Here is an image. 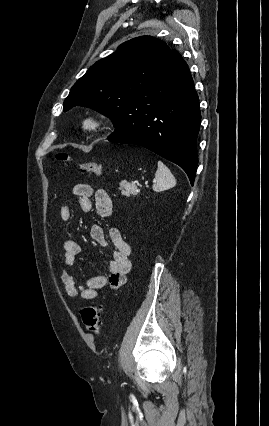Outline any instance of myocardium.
Listing matches in <instances>:
<instances>
[{
  "mask_svg": "<svg viewBox=\"0 0 269 426\" xmlns=\"http://www.w3.org/2000/svg\"><path fill=\"white\" fill-rule=\"evenodd\" d=\"M105 124L106 118L103 115L92 113L84 118L82 126L88 132H96L101 130Z\"/></svg>",
  "mask_w": 269,
  "mask_h": 426,
  "instance_id": "f54148a6",
  "label": "myocardium"
}]
</instances>
